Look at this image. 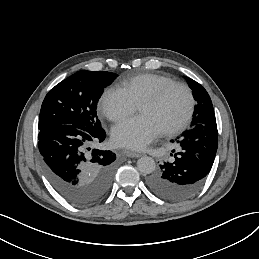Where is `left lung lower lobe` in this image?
<instances>
[{
    "mask_svg": "<svg viewBox=\"0 0 259 259\" xmlns=\"http://www.w3.org/2000/svg\"><path fill=\"white\" fill-rule=\"evenodd\" d=\"M177 143L175 159L161 165L147 181L154 194L171 201L188 199L203 185L218 147L217 124H197L185 131Z\"/></svg>",
    "mask_w": 259,
    "mask_h": 259,
    "instance_id": "0a47b994",
    "label": "left lung lower lobe"
}]
</instances>
